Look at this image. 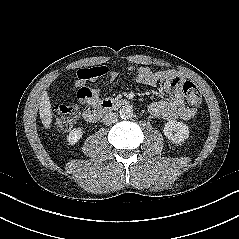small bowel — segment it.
Wrapping results in <instances>:
<instances>
[{
  "mask_svg": "<svg viewBox=\"0 0 239 239\" xmlns=\"http://www.w3.org/2000/svg\"><path fill=\"white\" fill-rule=\"evenodd\" d=\"M97 68L99 67L83 68L77 72L75 83L77 98L82 104L89 107L97 106L101 101L100 89L92 87L90 83L97 81L102 75L88 76L91 71ZM129 70L135 73L140 83L147 86H155L160 80H163L164 92L172 96L170 101L152 103L149 106L151 115L165 120H189L195 116V109L186 107L181 93L182 76L172 72L154 71L148 66L130 67ZM104 74L108 75L110 81H113L117 76V73L114 71H106Z\"/></svg>",
  "mask_w": 239,
  "mask_h": 239,
  "instance_id": "small-bowel-1",
  "label": "small bowel"
}]
</instances>
